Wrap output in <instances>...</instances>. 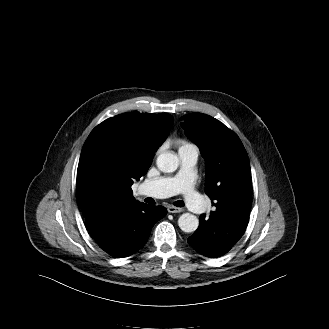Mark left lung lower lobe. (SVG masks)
I'll return each instance as SVG.
<instances>
[{
	"mask_svg": "<svg viewBox=\"0 0 329 329\" xmlns=\"http://www.w3.org/2000/svg\"><path fill=\"white\" fill-rule=\"evenodd\" d=\"M226 218L220 220L199 217V227L188 238V243L199 253L207 257H219L228 252L243 236L249 219V204H240L233 208L232 214L226 212Z\"/></svg>",
	"mask_w": 329,
	"mask_h": 329,
	"instance_id": "obj_1",
	"label": "left lung lower lobe"
}]
</instances>
